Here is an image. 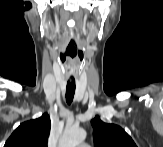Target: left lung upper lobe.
Listing matches in <instances>:
<instances>
[{"instance_id":"5c2ea615","label":"left lung upper lobe","mask_w":163,"mask_h":147,"mask_svg":"<svg viewBox=\"0 0 163 147\" xmlns=\"http://www.w3.org/2000/svg\"><path fill=\"white\" fill-rule=\"evenodd\" d=\"M91 124L95 147H136L132 138L120 126L104 123L98 116Z\"/></svg>"}]
</instances>
